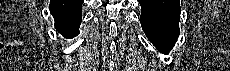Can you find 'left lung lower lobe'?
I'll return each instance as SVG.
<instances>
[{
	"mask_svg": "<svg viewBox=\"0 0 230 71\" xmlns=\"http://www.w3.org/2000/svg\"><path fill=\"white\" fill-rule=\"evenodd\" d=\"M140 22L147 38L164 54H168L179 35V0H139Z\"/></svg>",
	"mask_w": 230,
	"mask_h": 71,
	"instance_id": "obj_1",
	"label": "left lung lower lobe"
}]
</instances>
